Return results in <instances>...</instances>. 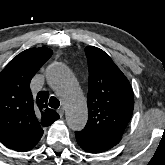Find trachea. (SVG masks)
<instances>
[{
    "mask_svg": "<svg viewBox=\"0 0 165 165\" xmlns=\"http://www.w3.org/2000/svg\"><path fill=\"white\" fill-rule=\"evenodd\" d=\"M49 106L51 108L57 109L60 106V102H59V100L56 97L52 96L49 99Z\"/></svg>",
    "mask_w": 165,
    "mask_h": 165,
    "instance_id": "3493384b",
    "label": "trachea"
}]
</instances>
